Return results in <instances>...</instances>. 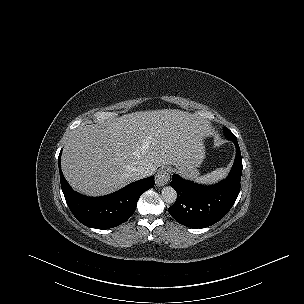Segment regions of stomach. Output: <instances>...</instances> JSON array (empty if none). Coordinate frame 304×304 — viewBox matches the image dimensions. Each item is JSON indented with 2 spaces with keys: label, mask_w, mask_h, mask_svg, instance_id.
Here are the masks:
<instances>
[{
  "label": "stomach",
  "mask_w": 304,
  "mask_h": 304,
  "mask_svg": "<svg viewBox=\"0 0 304 304\" xmlns=\"http://www.w3.org/2000/svg\"><path fill=\"white\" fill-rule=\"evenodd\" d=\"M204 158V151L200 150L190 154L185 161L178 167H175L180 175L186 179H198V167Z\"/></svg>",
  "instance_id": "stomach-1"
}]
</instances>
